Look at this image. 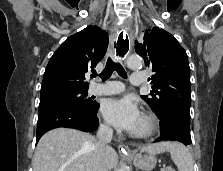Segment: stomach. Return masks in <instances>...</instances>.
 Masks as SVG:
<instances>
[{
    "label": "stomach",
    "mask_w": 223,
    "mask_h": 171,
    "mask_svg": "<svg viewBox=\"0 0 223 171\" xmlns=\"http://www.w3.org/2000/svg\"><path fill=\"white\" fill-rule=\"evenodd\" d=\"M133 162L142 171H152L156 166L157 160L154 154L137 153L134 156Z\"/></svg>",
    "instance_id": "0dacf381"
}]
</instances>
